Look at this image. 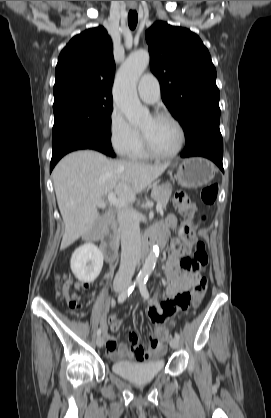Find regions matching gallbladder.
Listing matches in <instances>:
<instances>
[{
	"mask_svg": "<svg viewBox=\"0 0 271 418\" xmlns=\"http://www.w3.org/2000/svg\"><path fill=\"white\" fill-rule=\"evenodd\" d=\"M105 224V214H102L99 219L96 221L92 229L89 231V236H95L102 232Z\"/></svg>",
	"mask_w": 271,
	"mask_h": 418,
	"instance_id": "gallbladder-1",
	"label": "gallbladder"
}]
</instances>
